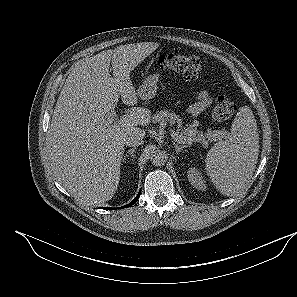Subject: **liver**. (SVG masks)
Instances as JSON below:
<instances>
[{
    "instance_id": "liver-1",
    "label": "liver",
    "mask_w": 297,
    "mask_h": 297,
    "mask_svg": "<svg viewBox=\"0 0 297 297\" xmlns=\"http://www.w3.org/2000/svg\"><path fill=\"white\" fill-rule=\"evenodd\" d=\"M158 47L141 42L102 51L75 66L65 81L48 130V152L60 183L84 205L98 206L114 196L124 139L131 132L145 134L138 125L149 123V110L132 107L120 120L111 117L119 97L137 104L130 72Z\"/></svg>"
}]
</instances>
